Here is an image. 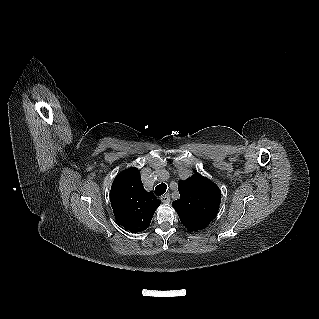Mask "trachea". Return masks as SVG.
<instances>
[{"mask_svg": "<svg viewBox=\"0 0 319 319\" xmlns=\"http://www.w3.org/2000/svg\"><path fill=\"white\" fill-rule=\"evenodd\" d=\"M167 190V185L165 183L159 184L155 187V194L157 196L163 195Z\"/></svg>", "mask_w": 319, "mask_h": 319, "instance_id": "3493384b", "label": "trachea"}]
</instances>
